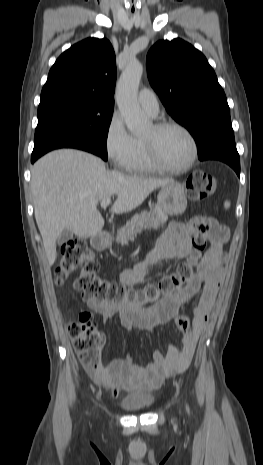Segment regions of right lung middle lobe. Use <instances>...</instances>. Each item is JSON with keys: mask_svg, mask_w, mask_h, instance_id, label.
<instances>
[{"mask_svg": "<svg viewBox=\"0 0 263 465\" xmlns=\"http://www.w3.org/2000/svg\"><path fill=\"white\" fill-rule=\"evenodd\" d=\"M113 106L98 102L59 98L45 101L38 107V125L34 150L63 138H75L88 143L98 156L107 160V135Z\"/></svg>", "mask_w": 263, "mask_h": 465, "instance_id": "dd1d6c3e", "label": "right lung middle lobe"}]
</instances>
